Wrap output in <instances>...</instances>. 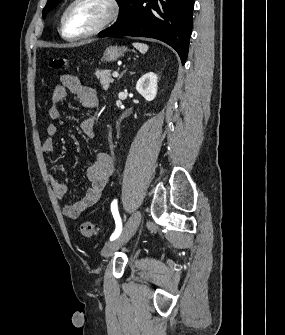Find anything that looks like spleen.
Segmentation results:
<instances>
[{
  "mask_svg": "<svg viewBox=\"0 0 285 335\" xmlns=\"http://www.w3.org/2000/svg\"><path fill=\"white\" fill-rule=\"evenodd\" d=\"M132 46H134V48H136V50H139V52H141V54H146V52H148L149 48L148 46H146V44H132Z\"/></svg>",
  "mask_w": 285,
  "mask_h": 335,
  "instance_id": "1",
  "label": "spleen"
}]
</instances>
